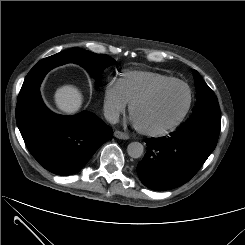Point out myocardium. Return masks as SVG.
Returning <instances> with one entry per match:
<instances>
[{
	"label": "myocardium",
	"instance_id": "f54148a6",
	"mask_svg": "<svg viewBox=\"0 0 245 245\" xmlns=\"http://www.w3.org/2000/svg\"><path fill=\"white\" fill-rule=\"evenodd\" d=\"M175 84L184 86L188 92L187 104H186L184 110L182 111V113L179 115V117L171 125L167 126L166 128L160 129V130H147V129L141 128L135 124V127L138 130V132H140L143 135L149 136V137H156L157 138V137H163V136L169 135L170 133L174 132L181 125V123L184 121V119L186 118V116L188 115V113L191 109V106L193 103V93H192L190 86L187 83H185L181 80H178V79H173V80L161 83V84L155 86L154 88H152L151 90H149L148 92H146V93L142 94L141 96L137 97L136 99H134L130 103L129 113H130V116L133 117L134 110L138 105L151 100L156 95H158L161 91H163L164 89L168 88L169 86H172Z\"/></svg>",
	"mask_w": 245,
	"mask_h": 245
}]
</instances>
